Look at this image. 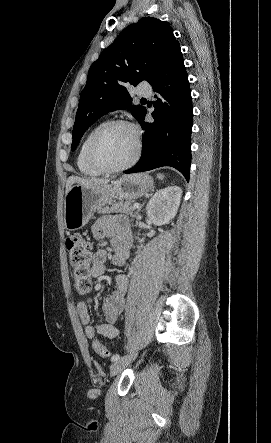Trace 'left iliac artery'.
<instances>
[{
	"instance_id": "44dca946",
	"label": "left iliac artery",
	"mask_w": 271,
	"mask_h": 443,
	"mask_svg": "<svg viewBox=\"0 0 271 443\" xmlns=\"http://www.w3.org/2000/svg\"><path fill=\"white\" fill-rule=\"evenodd\" d=\"M120 359V355L119 354H114L112 357H111V361L112 362H115V361H117V360H119Z\"/></svg>"
}]
</instances>
